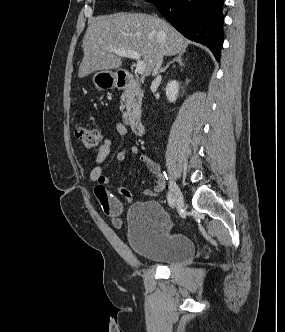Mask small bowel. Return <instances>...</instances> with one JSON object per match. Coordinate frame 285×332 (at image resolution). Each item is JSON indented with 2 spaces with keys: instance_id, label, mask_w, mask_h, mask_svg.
<instances>
[{
  "instance_id": "c3829d8e",
  "label": "small bowel",
  "mask_w": 285,
  "mask_h": 332,
  "mask_svg": "<svg viewBox=\"0 0 285 332\" xmlns=\"http://www.w3.org/2000/svg\"><path fill=\"white\" fill-rule=\"evenodd\" d=\"M115 130L120 136H126L128 133L126 125L122 122L115 124ZM111 146L112 141L109 138H104L97 150L95 163L90 172V180L95 183L94 194L103 211L111 218L113 226L120 228L122 226L120 215L123 212V202L119 196H122L130 203L137 194L122 186H115V192H111L106 188L109 184V177L104 174L103 164L111 153ZM138 153L139 149L136 145H129L118 151L116 158L118 161L122 162L127 156L137 155ZM140 160L147 165L150 172L155 176L156 182L154 187L143 190L141 195L145 197H155L164 187V179L160 172V166L147 155H141Z\"/></svg>"
}]
</instances>
